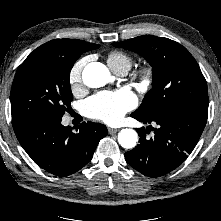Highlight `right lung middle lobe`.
<instances>
[{
  "label": "right lung middle lobe",
  "mask_w": 221,
  "mask_h": 221,
  "mask_svg": "<svg viewBox=\"0 0 221 221\" xmlns=\"http://www.w3.org/2000/svg\"><path fill=\"white\" fill-rule=\"evenodd\" d=\"M84 52L64 46H40L25 59L11 88L13 128L37 121L61 120L73 99L71 68Z\"/></svg>",
  "instance_id": "obj_1"
}]
</instances>
